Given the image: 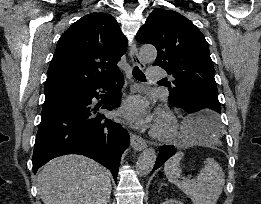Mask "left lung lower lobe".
Masks as SVG:
<instances>
[{"label": "left lung lower lobe", "instance_id": "0a47b994", "mask_svg": "<svg viewBox=\"0 0 261 204\" xmlns=\"http://www.w3.org/2000/svg\"><path fill=\"white\" fill-rule=\"evenodd\" d=\"M188 114L197 116L201 118V130L210 135H220L221 127L219 119H217L210 109L206 108L204 105L196 102H189L183 106H180ZM176 149L174 146L164 145L161 147L159 155L157 157L155 166L153 170L162 166L172 155H174Z\"/></svg>", "mask_w": 261, "mask_h": 204}]
</instances>
